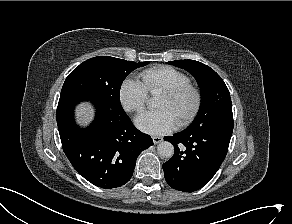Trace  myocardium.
<instances>
[{
  "label": "myocardium",
  "instance_id": "1",
  "mask_svg": "<svg viewBox=\"0 0 292 224\" xmlns=\"http://www.w3.org/2000/svg\"><path fill=\"white\" fill-rule=\"evenodd\" d=\"M186 94H191L193 97V101L188 111L177 122V125L179 127H184L188 125L195 118L198 111L200 110L202 104L201 90L197 86L191 83H187L166 89L161 92V95H164L171 100H176Z\"/></svg>",
  "mask_w": 292,
  "mask_h": 224
}]
</instances>
